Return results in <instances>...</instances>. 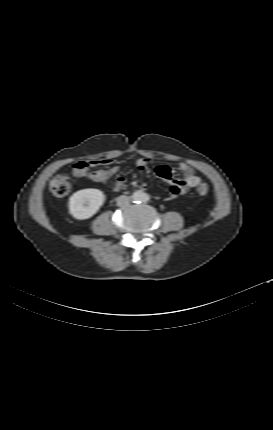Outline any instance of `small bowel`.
<instances>
[{"label":"small bowel","mask_w":273,"mask_h":430,"mask_svg":"<svg viewBox=\"0 0 273 430\" xmlns=\"http://www.w3.org/2000/svg\"><path fill=\"white\" fill-rule=\"evenodd\" d=\"M111 162V159L79 161L73 165V174L76 177H85L94 182L105 183L110 178L118 174V167L114 166L107 170L96 169L94 171H89V168ZM134 163L138 169L144 170L147 167L148 159L138 157ZM178 167L180 171L184 174L183 179L177 178L175 172L167 166H160L155 170L156 175L165 180L170 186L167 197L168 200L177 198L178 196L186 193L188 190L197 187L201 182L200 178L195 174L194 169L190 165L181 162L179 163ZM139 187L142 189H146V184L141 183ZM123 188H125V179L123 177H118L114 184V190L118 191Z\"/></svg>","instance_id":"small-bowel-1"}]
</instances>
